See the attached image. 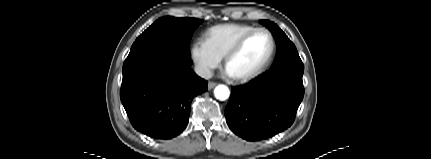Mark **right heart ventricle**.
I'll return each instance as SVG.
<instances>
[{
	"label": "right heart ventricle",
	"mask_w": 431,
	"mask_h": 159,
	"mask_svg": "<svg viewBox=\"0 0 431 159\" xmlns=\"http://www.w3.org/2000/svg\"><path fill=\"white\" fill-rule=\"evenodd\" d=\"M254 29L256 27L247 24H219L209 28L205 32V38L211 48L223 58L243 35Z\"/></svg>",
	"instance_id": "e07e8e85"
}]
</instances>
